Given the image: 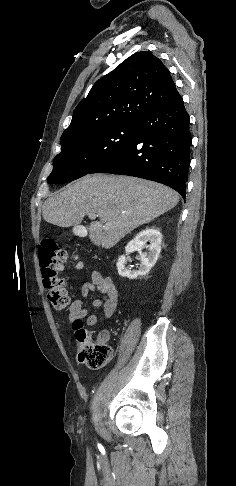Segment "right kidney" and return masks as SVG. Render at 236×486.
Returning <instances> with one entry per match:
<instances>
[{
	"label": "right kidney",
	"mask_w": 236,
	"mask_h": 486,
	"mask_svg": "<svg viewBox=\"0 0 236 486\" xmlns=\"http://www.w3.org/2000/svg\"><path fill=\"white\" fill-rule=\"evenodd\" d=\"M149 242V253H142ZM162 234L155 228L145 229L141 231L136 237L131 240L125 247L126 254L138 251L140 254L141 265L137 271H130L125 269L126 263L125 255L119 257L117 261V270L120 276L129 279H136L139 276H145L149 273L151 268L155 265L160 251H161Z\"/></svg>",
	"instance_id": "obj_1"
}]
</instances>
